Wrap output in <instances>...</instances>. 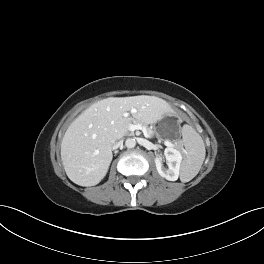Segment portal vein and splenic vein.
<instances>
[{"label":"portal vein and splenic vein","instance_id":"1","mask_svg":"<svg viewBox=\"0 0 264 264\" xmlns=\"http://www.w3.org/2000/svg\"><path fill=\"white\" fill-rule=\"evenodd\" d=\"M131 113L132 114L133 113H136V110L135 109H132L131 110ZM124 116H127V114L125 113ZM129 130L130 131L141 130L143 132V134L145 135V137H149V134H148L147 129L144 126H142L141 124H139V123L138 124H130L129 125ZM164 144L166 146H169V147H172L173 146V144L169 140H165L164 141Z\"/></svg>","mask_w":264,"mask_h":264}]
</instances>
